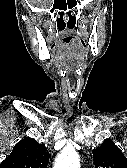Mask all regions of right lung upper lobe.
Wrapping results in <instances>:
<instances>
[{
  "label": "right lung upper lobe",
  "mask_w": 127,
  "mask_h": 168,
  "mask_svg": "<svg viewBox=\"0 0 127 168\" xmlns=\"http://www.w3.org/2000/svg\"><path fill=\"white\" fill-rule=\"evenodd\" d=\"M49 154L43 144L26 138L18 142L0 168H47Z\"/></svg>",
  "instance_id": "1"
}]
</instances>
